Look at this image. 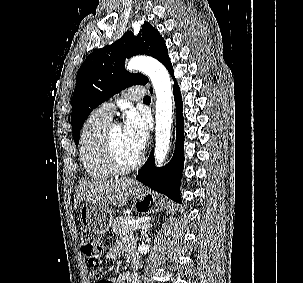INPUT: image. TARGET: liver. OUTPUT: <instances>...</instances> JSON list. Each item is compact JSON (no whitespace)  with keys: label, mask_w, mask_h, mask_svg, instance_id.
<instances>
[{"label":"liver","mask_w":303,"mask_h":283,"mask_svg":"<svg viewBox=\"0 0 303 283\" xmlns=\"http://www.w3.org/2000/svg\"><path fill=\"white\" fill-rule=\"evenodd\" d=\"M136 183L132 178L108 181L82 180L75 190L74 206L77 208L81 202H94L123 207L127 204L129 196L132 195Z\"/></svg>","instance_id":"6515ba94"}]
</instances>
